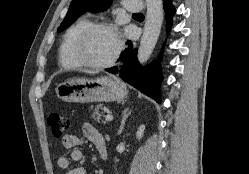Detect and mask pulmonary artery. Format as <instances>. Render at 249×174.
Instances as JSON below:
<instances>
[{
	"instance_id": "pulmonary-artery-1",
	"label": "pulmonary artery",
	"mask_w": 249,
	"mask_h": 174,
	"mask_svg": "<svg viewBox=\"0 0 249 174\" xmlns=\"http://www.w3.org/2000/svg\"><path fill=\"white\" fill-rule=\"evenodd\" d=\"M124 7L131 13H140L143 10V2L141 0H123Z\"/></svg>"
}]
</instances>
